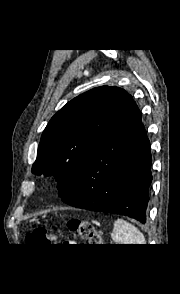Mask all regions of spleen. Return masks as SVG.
Returning <instances> with one entry per match:
<instances>
[{
	"mask_svg": "<svg viewBox=\"0 0 180 294\" xmlns=\"http://www.w3.org/2000/svg\"><path fill=\"white\" fill-rule=\"evenodd\" d=\"M111 238L116 244H146L144 235L131 223L124 219H117L114 222Z\"/></svg>",
	"mask_w": 180,
	"mask_h": 294,
	"instance_id": "3e777b00",
	"label": "spleen"
}]
</instances>
